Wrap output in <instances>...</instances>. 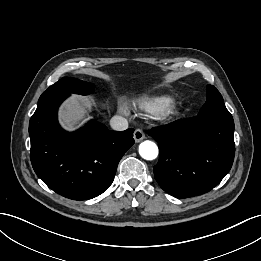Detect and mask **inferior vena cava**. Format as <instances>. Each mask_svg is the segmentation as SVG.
<instances>
[{"instance_id":"1","label":"inferior vena cava","mask_w":261,"mask_h":261,"mask_svg":"<svg viewBox=\"0 0 261 261\" xmlns=\"http://www.w3.org/2000/svg\"><path fill=\"white\" fill-rule=\"evenodd\" d=\"M110 126L113 130L124 131L128 128V121L122 116L115 115L110 120Z\"/></svg>"}]
</instances>
